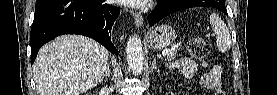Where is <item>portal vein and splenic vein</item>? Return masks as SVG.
<instances>
[{
  "mask_svg": "<svg viewBox=\"0 0 277 95\" xmlns=\"http://www.w3.org/2000/svg\"><path fill=\"white\" fill-rule=\"evenodd\" d=\"M169 52H170L169 49H165V50L162 51V55L165 56V55L168 54Z\"/></svg>",
  "mask_w": 277,
  "mask_h": 95,
  "instance_id": "1",
  "label": "portal vein and splenic vein"
}]
</instances>
